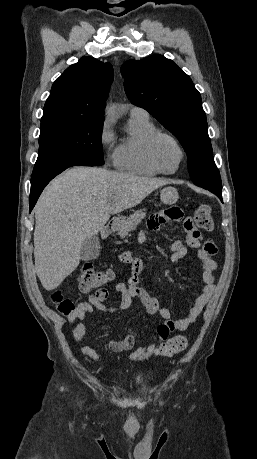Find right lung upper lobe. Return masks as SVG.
<instances>
[{
    "mask_svg": "<svg viewBox=\"0 0 257 459\" xmlns=\"http://www.w3.org/2000/svg\"><path fill=\"white\" fill-rule=\"evenodd\" d=\"M114 76L110 63L83 57L54 82L44 114L104 120L103 106Z\"/></svg>",
    "mask_w": 257,
    "mask_h": 459,
    "instance_id": "1",
    "label": "right lung upper lobe"
}]
</instances>
